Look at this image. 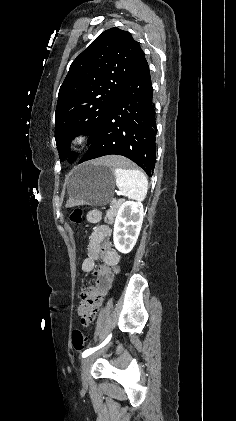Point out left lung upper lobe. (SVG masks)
<instances>
[{"label":"left lung upper lobe","mask_w":236,"mask_h":421,"mask_svg":"<svg viewBox=\"0 0 236 421\" xmlns=\"http://www.w3.org/2000/svg\"><path fill=\"white\" fill-rule=\"evenodd\" d=\"M140 46L119 28L101 33L71 64L60 87L55 139L60 159L69 154L74 136L99 130L133 68ZM71 153L70 160L77 158Z\"/></svg>","instance_id":"left-lung-upper-lobe-1"}]
</instances>
